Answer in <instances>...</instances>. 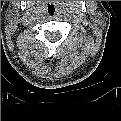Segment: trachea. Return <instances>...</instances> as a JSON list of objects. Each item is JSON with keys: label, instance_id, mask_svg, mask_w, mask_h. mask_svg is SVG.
Returning a JSON list of instances; mask_svg holds the SVG:
<instances>
[{"label": "trachea", "instance_id": "1", "mask_svg": "<svg viewBox=\"0 0 121 121\" xmlns=\"http://www.w3.org/2000/svg\"><path fill=\"white\" fill-rule=\"evenodd\" d=\"M47 13L49 16L53 17L57 14V8L54 5H48Z\"/></svg>", "mask_w": 121, "mask_h": 121}]
</instances>
